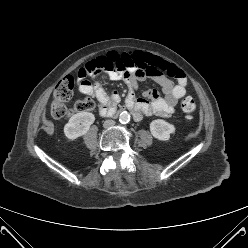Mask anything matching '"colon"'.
Returning a JSON list of instances; mask_svg holds the SVG:
<instances>
[{
  "label": "colon",
  "instance_id": "colon-1",
  "mask_svg": "<svg viewBox=\"0 0 248 248\" xmlns=\"http://www.w3.org/2000/svg\"><path fill=\"white\" fill-rule=\"evenodd\" d=\"M131 63L127 61L123 55L112 52L106 56L95 58L86 66V72L99 73L102 71H124L129 72ZM74 80L71 76L63 77L55 86L53 101L51 104V114L54 118L60 119L73 115L74 113L91 111L95 104L90 98L77 100L73 108L68 109L65 102L68 101L73 94ZM181 111L185 114V121L190 123L193 120V112L196 109L195 101L188 96L180 102Z\"/></svg>",
  "mask_w": 248,
  "mask_h": 248
}]
</instances>
